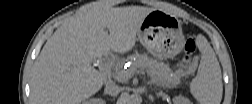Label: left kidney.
Instances as JSON below:
<instances>
[{
    "label": "left kidney",
    "instance_id": "5707ae66",
    "mask_svg": "<svg viewBox=\"0 0 252 104\" xmlns=\"http://www.w3.org/2000/svg\"><path fill=\"white\" fill-rule=\"evenodd\" d=\"M174 103H188V99L184 98V97H175L173 99Z\"/></svg>",
    "mask_w": 252,
    "mask_h": 104
}]
</instances>
